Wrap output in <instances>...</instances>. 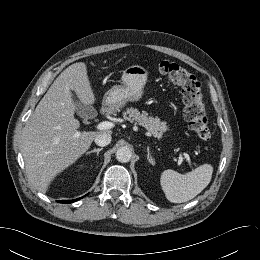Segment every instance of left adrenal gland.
Returning <instances> with one entry per match:
<instances>
[{
	"label": "left adrenal gland",
	"instance_id": "1",
	"mask_svg": "<svg viewBox=\"0 0 260 260\" xmlns=\"http://www.w3.org/2000/svg\"><path fill=\"white\" fill-rule=\"evenodd\" d=\"M147 160L150 164L154 165V159L151 156L150 150H149V146L147 147Z\"/></svg>",
	"mask_w": 260,
	"mask_h": 260
}]
</instances>
